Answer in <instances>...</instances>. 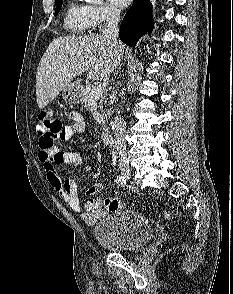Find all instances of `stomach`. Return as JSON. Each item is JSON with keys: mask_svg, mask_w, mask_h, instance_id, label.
Returning <instances> with one entry per match:
<instances>
[{"mask_svg": "<svg viewBox=\"0 0 233 294\" xmlns=\"http://www.w3.org/2000/svg\"><path fill=\"white\" fill-rule=\"evenodd\" d=\"M63 99L70 104L82 103V89L78 83H70L62 92Z\"/></svg>", "mask_w": 233, "mask_h": 294, "instance_id": "0dacf381", "label": "stomach"}]
</instances>
